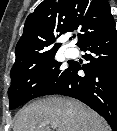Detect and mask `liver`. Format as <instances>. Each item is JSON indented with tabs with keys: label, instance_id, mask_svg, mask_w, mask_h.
I'll return each instance as SVG.
<instances>
[{
	"label": "liver",
	"instance_id": "obj_1",
	"mask_svg": "<svg viewBox=\"0 0 117 131\" xmlns=\"http://www.w3.org/2000/svg\"><path fill=\"white\" fill-rule=\"evenodd\" d=\"M107 131L106 122L83 103L69 98L47 97L23 108L14 131Z\"/></svg>",
	"mask_w": 117,
	"mask_h": 131
}]
</instances>
